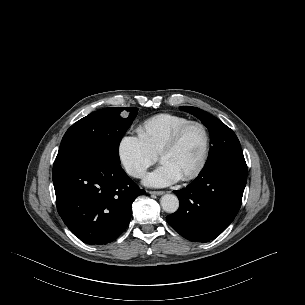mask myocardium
Instances as JSON below:
<instances>
[{"mask_svg": "<svg viewBox=\"0 0 305 305\" xmlns=\"http://www.w3.org/2000/svg\"><path fill=\"white\" fill-rule=\"evenodd\" d=\"M192 126H198L203 130L205 136V147L198 166L190 173L181 177L180 179L182 181H189L196 178L202 173V171L206 167L211 152V135L208 127L200 121H189L180 128H178L158 152V160L161 161L162 156L167 152L173 150L180 142L183 134Z\"/></svg>", "mask_w": 305, "mask_h": 305, "instance_id": "obj_1", "label": "myocardium"}]
</instances>
